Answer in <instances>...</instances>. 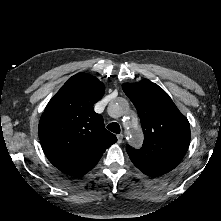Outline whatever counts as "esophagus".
<instances>
[{"instance_id":"obj_1","label":"esophagus","mask_w":221,"mask_h":221,"mask_svg":"<svg viewBox=\"0 0 221 221\" xmlns=\"http://www.w3.org/2000/svg\"><path fill=\"white\" fill-rule=\"evenodd\" d=\"M117 140H118L119 144L122 143V141H123V134H118L117 135Z\"/></svg>"}]
</instances>
